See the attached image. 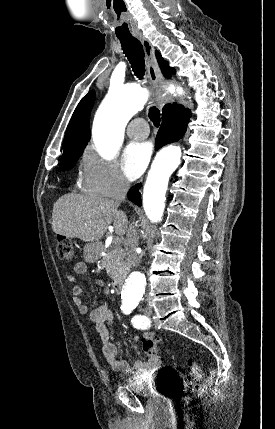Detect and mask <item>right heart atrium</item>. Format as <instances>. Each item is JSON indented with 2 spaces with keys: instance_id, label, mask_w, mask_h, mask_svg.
<instances>
[{
  "instance_id": "obj_1",
  "label": "right heart atrium",
  "mask_w": 275,
  "mask_h": 429,
  "mask_svg": "<svg viewBox=\"0 0 275 429\" xmlns=\"http://www.w3.org/2000/svg\"><path fill=\"white\" fill-rule=\"evenodd\" d=\"M80 172L83 189L92 195L112 197L129 187L118 164L101 157L91 148L82 154Z\"/></svg>"
}]
</instances>
